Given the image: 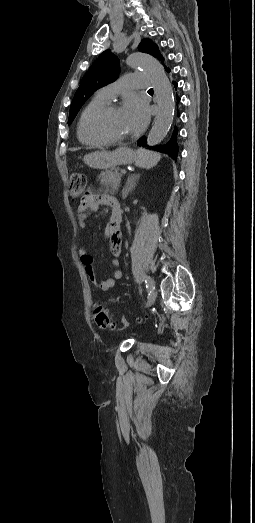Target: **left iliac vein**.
Listing matches in <instances>:
<instances>
[{
    "mask_svg": "<svg viewBox=\"0 0 255 523\" xmlns=\"http://www.w3.org/2000/svg\"><path fill=\"white\" fill-rule=\"evenodd\" d=\"M145 279L149 286L155 287L154 281L150 277L146 276ZM155 300H156V292L153 291L151 294H149L145 307L148 308V307L152 306L155 303Z\"/></svg>",
    "mask_w": 255,
    "mask_h": 523,
    "instance_id": "left-iliac-vein-1",
    "label": "left iliac vein"
}]
</instances>
